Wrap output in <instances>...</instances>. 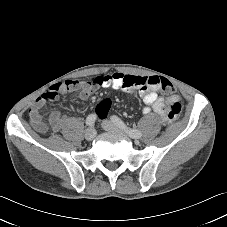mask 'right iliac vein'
I'll list each match as a JSON object with an SVG mask.
<instances>
[{
	"label": "right iliac vein",
	"instance_id": "obj_1",
	"mask_svg": "<svg viewBox=\"0 0 227 227\" xmlns=\"http://www.w3.org/2000/svg\"><path fill=\"white\" fill-rule=\"evenodd\" d=\"M96 136V130L94 128H88L85 132V138L88 141H91L95 138Z\"/></svg>",
	"mask_w": 227,
	"mask_h": 227
}]
</instances>
